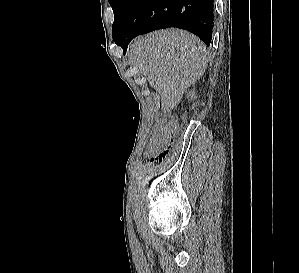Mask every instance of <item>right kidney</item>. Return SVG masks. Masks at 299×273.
<instances>
[{"label":"right kidney","mask_w":299,"mask_h":273,"mask_svg":"<svg viewBox=\"0 0 299 273\" xmlns=\"http://www.w3.org/2000/svg\"><path fill=\"white\" fill-rule=\"evenodd\" d=\"M189 97H191V100L196 97L194 91L189 92Z\"/></svg>","instance_id":"ca27d5eb"}]
</instances>
